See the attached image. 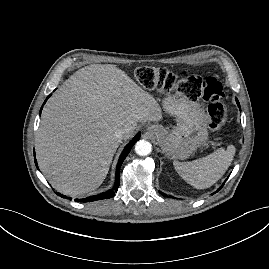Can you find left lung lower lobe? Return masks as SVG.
Listing matches in <instances>:
<instances>
[{
	"label": "left lung lower lobe",
	"instance_id": "left-lung-lower-lobe-1",
	"mask_svg": "<svg viewBox=\"0 0 269 269\" xmlns=\"http://www.w3.org/2000/svg\"><path fill=\"white\" fill-rule=\"evenodd\" d=\"M236 102H237V105H238V107L240 108V104H239V101H238V99L236 98ZM223 185H224V183H223ZM222 185V186H223ZM222 186L220 187V188H218V190L217 191H219L221 188H222Z\"/></svg>",
	"mask_w": 269,
	"mask_h": 269
}]
</instances>
